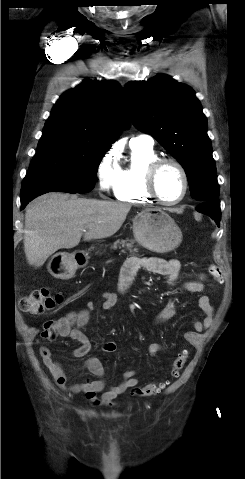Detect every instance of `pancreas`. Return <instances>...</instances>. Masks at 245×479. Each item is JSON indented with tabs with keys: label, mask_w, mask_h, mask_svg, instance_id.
<instances>
[{
	"label": "pancreas",
	"mask_w": 245,
	"mask_h": 479,
	"mask_svg": "<svg viewBox=\"0 0 245 479\" xmlns=\"http://www.w3.org/2000/svg\"><path fill=\"white\" fill-rule=\"evenodd\" d=\"M134 241L133 240H117L114 242L113 246L111 247L112 249L116 250L118 247L119 248H127L130 252H132ZM133 251L137 252V249L135 248Z\"/></svg>",
	"instance_id": "cf45deb5"
}]
</instances>
